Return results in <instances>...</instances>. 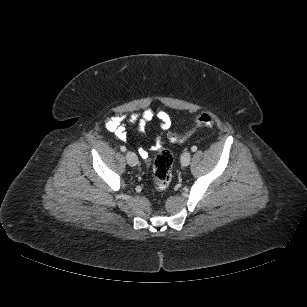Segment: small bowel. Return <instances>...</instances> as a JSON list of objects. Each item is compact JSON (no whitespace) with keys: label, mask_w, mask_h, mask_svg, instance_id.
<instances>
[{"label":"small bowel","mask_w":307,"mask_h":307,"mask_svg":"<svg viewBox=\"0 0 307 307\" xmlns=\"http://www.w3.org/2000/svg\"><path fill=\"white\" fill-rule=\"evenodd\" d=\"M153 117L154 114L150 109H146L141 115L133 114L128 118V120H125V118L121 115H116L108 118L105 121V127L108 131L114 133L119 139L125 140L127 138V133H126L127 125H138L139 128L143 129L146 123L151 121ZM157 117L160 120V127L162 129L166 130L170 127L171 125L170 118L166 112L159 111L157 113ZM161 143H162L161 138L158 137L152 149L153 150L158 149L161 146ZM138 153L143 159H147L149 157V151L144 148H140L138 150Z\"/></svg>","instance_id":"1"}]
</instances>
